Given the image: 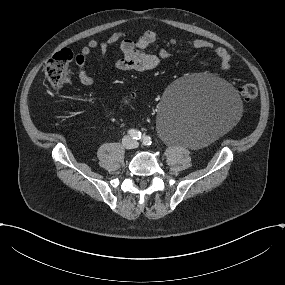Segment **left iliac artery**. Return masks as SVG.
I'll list each match as a JSON object with an SVG mask.
<instances>
[{
	"mask_svg": "<svg viewBox=\"0 0 285 285\" xmlns=\"http://www.w3.org/2000/svg\"><path fill=\"white\" fill-rule=\"evenodd\" d=\"M142 142L145 146H149L152 143L151 138L149 136H144L142 138Z\"/></svg>",
	"mask_w": 285,
	"mask_h": 285,
	"instance_id": "44dca946",
	"label": "left iliac artery"
}]
</instances>
